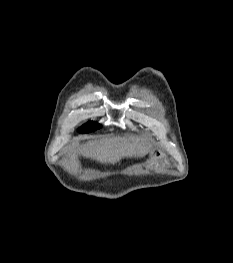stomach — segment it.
Returning a JSON list of instances; mask_svg holds the SVG:
<instances>
[{
	"mask_svg": "<svg viewBox=\"0 0 233 263\" xmlns=\"http://www.w3.org/2000/svg\"><path fill=\"white\" fill-rule=\"evenodd\" d=\"M152 154H153L154 158H158L160 161L165 160V158H164L165 154L161 150H154V152Z\"/></svg>",
	"mask_w": 233,
	"mask_h": 263,
	"instance_id": "0dacf381",
	"label": "stomach"
}]
</instances>
